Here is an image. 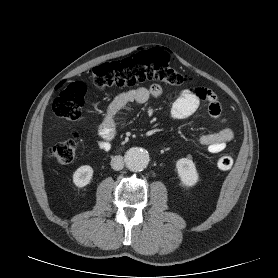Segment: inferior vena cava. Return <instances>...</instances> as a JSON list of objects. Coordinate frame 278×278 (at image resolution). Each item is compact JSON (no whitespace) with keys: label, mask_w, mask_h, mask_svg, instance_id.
<instances>
[{"label":"inferior vena cava","mask_w":278,"mask_h":278,"mask_svg":"<svg viewBox=\"0 0 278 278\" xmlns=\"http://www.w3.org/2000/svg\"><path fill=\"white\" fill-rule=\"evenodd\" d=\"M111 167L114 170H122L124 167V160L122 156H114L111 160Z\"/></svg>","instance_id":"obj_1"}]
</instances>
